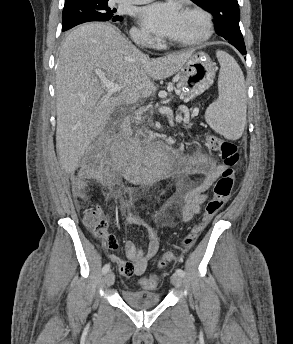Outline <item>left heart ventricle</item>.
Returning <instances> with one entry per match:
<instances>
[{"instance_id":"b2bd125f","label":"left heart ventricle","mask_w":293,"mask_h":344,"mask_svg":"<svg viewBox=\"0 0 293 344\" xmlns=\"http://www.w3.org/2000/svg\"><path fill=\"white\" fill-rule=\"evenodd\" d=\"M202 31L201 19L195 14L183 13L176 32L169 37L171 41L188 40L198 36Z\"/></svg>"}]
</instances>
